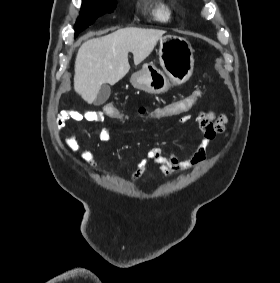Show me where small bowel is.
Masks as SVG:
<instances>
[{"label":"small bowel","mask_w":280,"mask_h":283,"mask_svg":"<svg viewBox=\"0 0 280 283\" xmlns=\"http://www.w3.org/2000/svg\"><path fill=\"white\" fill-rule=\"evenodd\" d=\"M152 112L153 110H148L144 107H141L137 110L139 117L141 114H152ZM187 113L188 112H182V115H185ZM103 119V111H78L69 114L68 118L59 119V126H64L68 121L74 120L101 122ZM190 121L191 117L189 116L181 117V122L183 123ZM195 122L201 133V142L192 157L188 159H179L173 153L168 152L160 147L152 148L148 150L145 154V157L137 163L136 168L130 170L127 173L129 179L133 181L139 179L151 164L157 166L166 178L171 177L174 173L185 172L201 165L207 158V151L210 142L224 132L225 126L227 124V117L224 114H216L213 111L200 112L195 117ZM97 136L100 140H108L111 137L109 128L100 127L97 131ZM68 147L73 153L80 151L78 138L75 132H72L69 136ZM81 158L92 170L99 171L94 153L90 148H84L83 150H81Z\"/></svg>","instance_id":"obj_1"}]
</instances>
